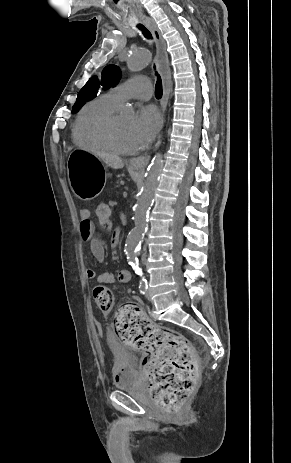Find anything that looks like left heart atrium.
Wrapping results in <instances>:
<instances>
[{
	"label": "left heart atrium",
	"mask_w": 291,
	"mask_h": 463,
	"mask_svg": "<svg viewBox=\"0 0 291 463\" xmlns=\"http://www.w3.org/2000/svg\"><path fill=\"white\" fill-rule=\"evenodd\" d=\"M162 120L153 106L141 108L132 122L131 133L138 147L146 146L160 129Z\"/></svg>",
	"instance_id": "39dd6f15"
}]
</instances>
